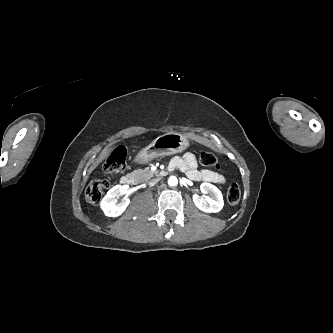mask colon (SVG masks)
I'll use <instances>...</instances> for the list:
<instances>
[{
  "mask_svg": "<svg viewBox=\"0 0 333 333\" xmlns=\"http://www.w3.org/2000/svg\"><path fill=\"white\" fill-rule=\"evenodd\" d=\"M126 149L122 146L117 147L108 157L104 164L105 173L112 175L119 173L125 168ZM200 162L203 166L220 171L221 166L216 156L207 151H203L200 154ZM109 187V183L106 180L92 181L86 188V200L93 205L100 202L102 196ZM241 197V191L239 186L235 182H231L226 190V200L231 206L238 204Z\"/></svg>",
  "mask_w": 333,
  "mask_h": 333,
  "instance_id": "1",
  "label": "colon"
}]
</instances>
